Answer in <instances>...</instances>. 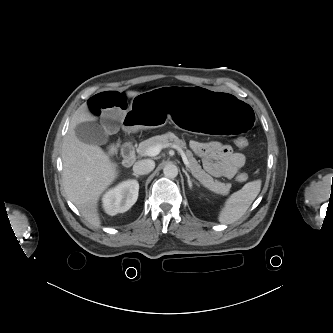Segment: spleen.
<instances>
[{
	"instance_id": "spleen-1",
	"label": "spleen",
	"mask_w": 333,
	"mask_h": 333,
	"mask_svg": "<svg viewBox=\"0 0 333 333\" xmlns=\"http://www.w3.org/2000/svg\"><path fill=\"white\" fill-rule=\"evenodd\" d=\"M261 180L246 183L240 190L231 194L224 202L218 215L222 224H232L239 220L261 190Z\"/></svg>"
}]
</instances>
